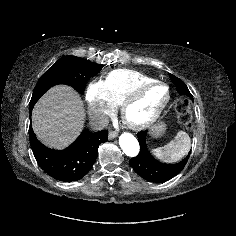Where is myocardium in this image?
<instances>
[{
  "label": "myocardium",
  "mask_w": 236,
  "mask_h": 236,
  "mask_svg": "<svg viewBox=\"0 0 236 236\" xmlns=\"http://www.w3.org/2000/svg\"><path fill=\"white\" fill-rule=\"evenodd\" d=\"M162 85L166 88V97L165 99L156 107L153 114L144 121L136 122L131 120L128 117V110L131 106L137 103L141 97L151 88ZM171 100V90L167 83L160 80H153L147 83H144L134 89L120 104V114L124 124L134 131H141L151 127L161 116L163 110L169 104Z\"/></svg>",
  "instance_id": "f54148a6"
}]
</instances>
